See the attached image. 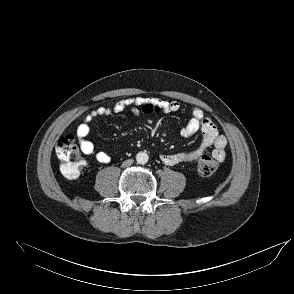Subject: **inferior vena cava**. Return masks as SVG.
<instances>
[{
    "label": "inferior vena cava",
    "instance_id": "obj_1",
    "mask_svg": "<svg viewBox=\"0 0 294 294\" xmlns=\"http://www.w3.org/2000/svg\"><path fill=\"white\" fill-rule=\"evenodd\" d=\"M133 164V160L132 159H128V160H125L123 163H122V167H129Z\"/></svg>",
    "mask_w": 294,
    "mask_h": 294
}]
</instances>
